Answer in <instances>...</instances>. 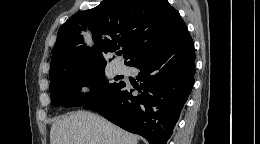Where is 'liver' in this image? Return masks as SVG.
Returning a JSON list of instances; mask_svg holds the SVG:
<instances>
[{
    "mask_svg": "<svg viewBox=\"0 0 260 144\" xmlns=\"http://www.w3.org/2000/svg\"><path fill=\"white\" fill-rule=\"evenodd\" d=\"M138 137L86 111L72 112L55 121L50 144H137Z\"/></svg>",
    "mask_w": 260,
    "mask_h": 144,
    "instance_id": "obj_1",
    "label": "liver"
}]
</instances>
